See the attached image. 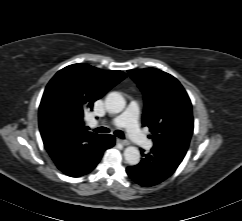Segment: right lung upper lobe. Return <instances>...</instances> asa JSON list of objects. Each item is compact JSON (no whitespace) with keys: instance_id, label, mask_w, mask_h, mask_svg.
<instances>
[{"instance_id":"1","label":"right lung upper lobe","mask_w":242,"mask_h":221,"mask_svg":"<svg viewBox=\"0 0 242 221\" xmlns=\"http://www.w3.org/2000/svg\"><path fill=\"white\" fill-rule=\"evenodd\" d=\"M125 77L119 70L79 63L61 69L50 80L39 107V128L55 164L72 161L87 143L99 137L86 130L84 113Z\"/></svg>"}]
</instances>
